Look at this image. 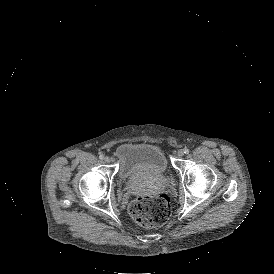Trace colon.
<instances>
[{
    "instance_id": "colon-1",
    "label": "colon",
    "mask_w": 274,
    "mask_h": 274,
    "mask_svg": "<svg viewBox=\"0 0 274 274\" xmlns=\"http://www.w3.org/2000/svg\"><path fill=\"white\" fill-rule=\"evenodd\" d=\"M129 212L139 226L160 227L171 218L169 201L165 195L138 197L129 204Z\"/></svg>"
}]
</instances>
